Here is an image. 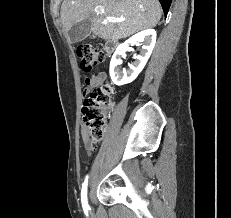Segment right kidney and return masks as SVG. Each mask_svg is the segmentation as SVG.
Segmentation results:
<instances>
[{"label": "right kidney", "mask_w": 231, "mask_h": 218, "mask_svg": "<svg viewBox=\"0 0 231 218\" xmlns=\"http://www.w3.org/2000/svg\"><path fill=\"white\" fill-rule=\"evenodd\" d=\"M141 43L142 50L134 56L135 61L129 65V69L120 70L121 57L126 51L131 50V46ZM156 43V31L154 29L144 30L126 40L119 45L112 56L110 62V76L114 84L125 85L136 79L138 74L146 65Z\"/></svg>", "instance_id": "1"}]
</instances>
